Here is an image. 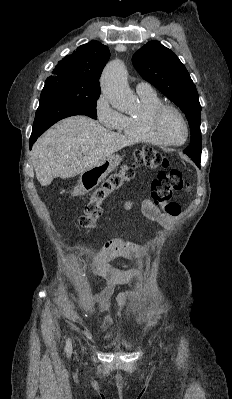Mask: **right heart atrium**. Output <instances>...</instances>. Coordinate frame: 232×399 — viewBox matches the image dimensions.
<instances>
[{"mask_svg": "<svg viewBox=\"0 0 232 399\" xmlns=\"http://www.w3.org/2000/svg\"><path fill=\"white\" fill-rule=\"evenodd\" d=\"M105 70V69H104ZM125 104V103H112ZM96 119L99 120V125H106L108 129H115L118 125L121 114L113 109L109 103L105 102V96H101L98 104L95 106Z\"/></svg>", "mask_w": 232, "mask_h": 399, "instance_id": "obj_1", "label": "right heart atrium"}]
</instances>
